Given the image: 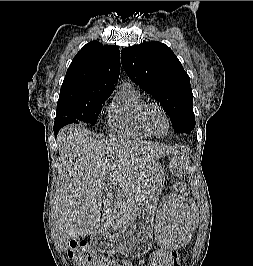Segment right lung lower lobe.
Listing matches in <instances>:
<instances>
[{
	"mask_svg": "<svg viewBox=\"0 0 253 266\" xmlns=\"http://www.w3.org/2000/svg\"><path fill=\"white\" fill-rule=\"evenodd\" d=\"M60 130V127L54 126V134L56 135L58 131Z\"/></svg>",
	"mask_w": 253,
	"mask_h": 266,
	"instance_id": "1",
	"label": "right lung lower lobe"
}]
</instances>
